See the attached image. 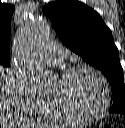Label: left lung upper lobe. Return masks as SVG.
<instances>
[{"instance_id":"left-lung-upper-lobe-1","label":"left lung upper lobe","mask_w":125,"mask_h":128,"mask_svg":"<svg viewBox=\"0 0 125 128\" xmlns=\"http://www.w3.org/2000/svg\"><path fill=\"white\" fill-rule=\"evenodd\" d=\"M63 43L89 65L101 70L113 89L109 112L125 114V84L119 52L100 15L76 0H58L43 7Z\"/></svg>"}]
</instances>
